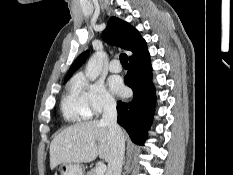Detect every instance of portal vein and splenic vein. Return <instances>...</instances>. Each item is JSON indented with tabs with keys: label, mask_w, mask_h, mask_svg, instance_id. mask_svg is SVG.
Wrapping results in <instances>:
<instances>
[{
	"label": "portal vein and splenic vein",
	"mask_w": 233,
	"mask_h": 175,
	"mask_svg": "<svg viewBox=\"0 0 233 175\" xmlns=\"http://www.w3.org/2000/svg\"><path fill=\"white\" fill-rule=\"evenodd\" d=\"M106 172V165L105 164H99L96 168V174L97 175H104Z\"/></svg>",
	"instance_id": "obj_1"
}]
</instances>
